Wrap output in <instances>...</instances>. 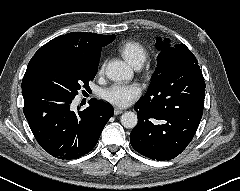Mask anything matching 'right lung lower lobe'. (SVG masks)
I'll use <instances>...</instances> for the list:
<instances>
[{"label":"right lung lower lobe","instance_id":"98d812e1","mask_svg":"<svg viewBox=\"0 0 240 191\" xmlns=\"http://www.w3.org/2000/svg\"><path fill=\"white\" fill-rule=\"evenodd\" d=\"M24 114L39 145L59 159H76L89 153L113 116L108 104L92 99L75 113L69 98L48 91H22Z\"/></svg>","mask_w":240,"mask_h":191}]
</instances>
